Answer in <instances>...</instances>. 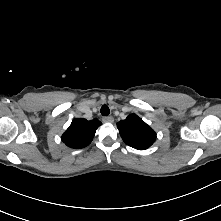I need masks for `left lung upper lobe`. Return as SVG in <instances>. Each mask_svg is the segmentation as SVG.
Segmentation results:
<instances>
[{
	"label": "left lung upper lobe",
	"mask_w": 221,
	"mask_h": 221,
	"mask_svg": "<svg viewBox=\"0 0 221 221\" xmlns=\"http://www.w3.org/2000/svg\"><path fill=\"white\" fill-rule=\"evenodd\" d=\"M123 141L138 150L149 148L156 139V133L136 114H130L117 123Z\"/></svg>",
	"instance_id": "left-lung-upper-lobe-1"
}]
</instances>
